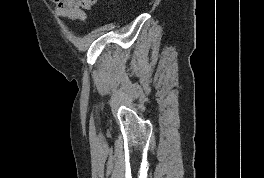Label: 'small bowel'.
<instances>
[{
	"instance_id": "1",
	"label": "small bowel",
	"mask_w": 264,
	"mask_h": 178,
	"mask_svg": "<svg viewBox=\"0 0 264 178\" xmlns=\"http://www.w3.org/2000/svg\"><path fill=\"white\" fill-rule=\"evenodd\" d=\"M56 13L70 20L84 21L86 11L91 9L96 0H51Z\"/></svg>"
}]
</instances>
